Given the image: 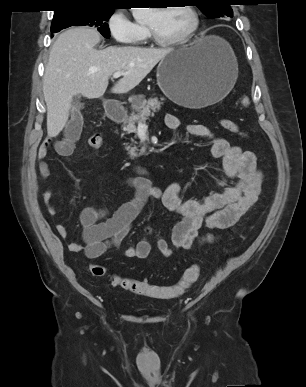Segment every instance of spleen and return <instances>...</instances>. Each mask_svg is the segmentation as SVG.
Here are the masks:
<instances>
[{"mask_svg":"<svg viewBox=\"0 0 306 387\" xmlns=\"http://www.w3.org/2000/svg\"><path fill=\"white\" fill-rule=\"evenodd\" d=\"M242 104H243L244 106H247V105L249 104V99H248V97H244V98H243Z\"/></svg>","mask_w":306,"mask_h":387,"instance_id":"obj_1","label":"spleen"}]
</instances>
